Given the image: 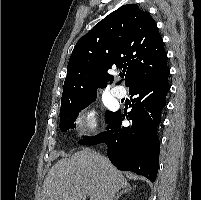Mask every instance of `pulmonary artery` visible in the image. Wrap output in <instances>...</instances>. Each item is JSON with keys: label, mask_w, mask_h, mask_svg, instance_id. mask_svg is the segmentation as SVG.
I'll return each mask as SVG.
<instances>
[{"label": "pulmonary artery", "mask_w": 201, "mask_h": 200, "mask_svg": "<svg viewBox=\"0 0 201 200\" xmlns=\"http://www.w3.org/2000/svg\"><path fill=\"white\" fill-rule=\"evenodd\" d=\"M111 93L114 97H116L118 99H122L126 95V90L123 87L116 86V87L112 88Z\"/></svg>", "instance_id": "1"}]
</instances>
